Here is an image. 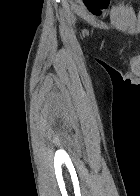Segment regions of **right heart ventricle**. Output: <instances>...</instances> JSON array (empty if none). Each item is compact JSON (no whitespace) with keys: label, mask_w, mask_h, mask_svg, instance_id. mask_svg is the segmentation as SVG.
<instances>
[{"label":"right heart ventricle","mask_w":140,"mask_h":196,"mask_svg":"<svg viewBox=\"0 0 140 196\" xmlns=\"http://www.w3.org/2000/svg\"><path fill=\"white\" fill-rule=\"evenodd\" d=\"M92 192H111V191H92Z\"/></svg>","instance_id":"e07e8e85"}]
</instances>
